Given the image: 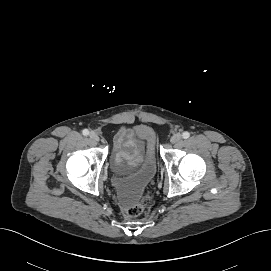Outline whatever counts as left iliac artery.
I'll list each match as a JSON object with an SVG mask.
<instances>
[{
    "instance_id": "1",
    "label": "left iliac artery",
    "mask_w": 271,
    "mask_h": 271,
    "mask_svg": "<svg viewBox=\"0 0 271 271\" xmlns=\"http://www.w3.org/2000/svg\"><path fill=\"white\" fill-rule=\"evenodd\" d=\"M182 137H183L184 139H187V138L190 137V133L187 132V131H185V132L182 133Z\"/></svg>"
}]
</instances>
